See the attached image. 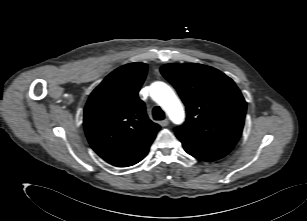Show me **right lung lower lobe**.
<instances>
[{"mask_svg": "<svg viewBox=\"0 0 307 221\" xmlns=\"http://www.w3.org/2000/svg\"><path fill=\"white\" fill-rule=\"evenodd\" d=\"M147 154V153H146ZM146 154L143 156V157H141L136 163H138L139 161H141L145 156H146ZM135 163V164H136ZM134 165V164H133Z\"/></svg>", "mask_w": 307, "mask_h": 221, "instance_id": "right-lung-lower-lobe-1", "label": "right lung lower lobe"}]
</instances>
